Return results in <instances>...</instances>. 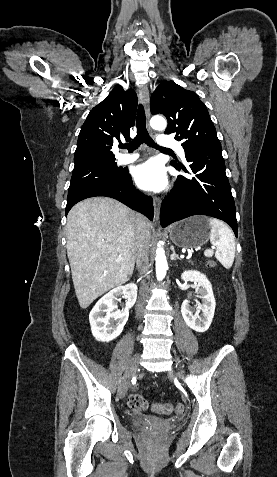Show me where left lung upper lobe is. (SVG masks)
Instances as JSON below:
<instances>
[{"label": "left lung upper lobe", "mask_w": 277, "mask_h": 477, "mask_svg": "<svg viewBox=\"0 0 277 477\" xmlns=\"http://www.w3.org/2000/svg\"><path fill=\"white\" fill-rule=\"evenodd\" d=\"M150 109L153 115L167 118L165 134L175 133L185 151L221 147L208 110L193 91L171 81L162 82L151 96Z\"/></svg>", "instance_id": "5c2ea615"}]
</instances>
